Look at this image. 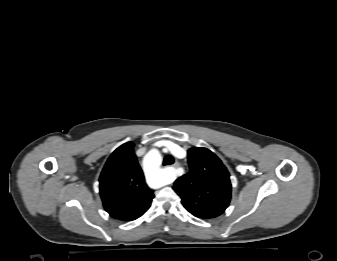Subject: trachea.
Segmentation results:
<instances>
[{
  "mask_svg": "<svg viewBox=\"0 0 337 261\" xmlns=\"http://www.w3.org/2000/svg\"><path fill=\"white\" fill-rule=\"evenodd\" d=\"M174 163V158L171 155H167L164 157L163 164L164 165H171Z\"/></svg>",
  "mask_w": 337,
  "mask_h": 261,
  "instance_id": "trachea-1",
  "label": "trachea"
}]
</instances>
